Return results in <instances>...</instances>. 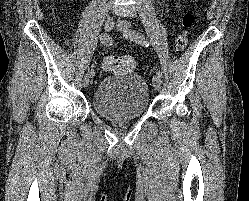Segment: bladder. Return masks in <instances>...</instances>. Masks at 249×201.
I'll list each match as a JSON object with an SVG mask.
<instances>
[{
  "label": "bladder",
  "instance_id": "1",
  "mask_svg": "<svg viewBox=\"0 0 249 201\" xmlns=\"http://www.w3.org/2000/svg\"><path fill=\"white\" fill-rule=\"evenodd\" d=\"M92 106L98 116L108 120L138 119L149 107L146 82L139 74L108 75L98 83Z\"/></svg>",
  "mask_w": 249,
  "mask_h": 201
}]
</instances>
